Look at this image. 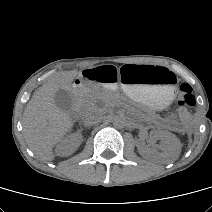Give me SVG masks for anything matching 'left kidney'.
Returning <instances> with one entry per match:
<instances>
[{"label": "left kidney", "mask_w": 212, "mask_h": 212, "mask_svg": "<svg viewBox=\"0 0 212 212\" xmlns=\"http://www.w3.org/2000/svg\"><path fill=\"white\" fill-rule=\"evenodd\" d=\"M153 137L156 140H160L161 157L165 162H173L178 158L181 145L179 139L174 134L164 130H157L153 133ZM137 149L143 157H149L153 153V149L142 143L137 144Z\"/></svg>", "instance_id": "5707ae66"}]
</instances>
